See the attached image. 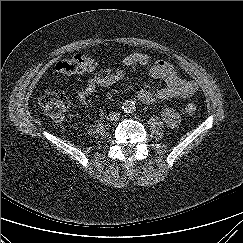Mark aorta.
I'll return each mask as SVG.
<instances>
[{"label":"aorta","instance_id":"1","mask_svg":"<svg viewBox=\"0 0 243 243\" xmlns=\"http://www.w3.org/2000/svg\"><path fill=\"white\" fill-rule=\"evenodd\" d=\"M122 109L125 113H133L136 109L135 103L130 100H126L122 103Z\"/></svg>","mask_w":243,"mask_h":243}]
</instances>
